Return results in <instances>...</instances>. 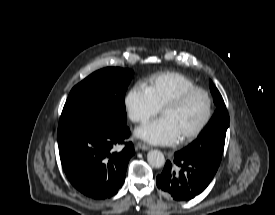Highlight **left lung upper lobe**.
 <instances>
[{
    "instance_id": "5c2ea615",
    "label": "left lung upper lobe",
    "mask_w": 275,
    "mask_h": 215,
    "mask_svg": "<svg viewBox=\"0 0 275 215\" xmlns=\"http://www.w3.org/2000/svg\"><path fill=\"white\" fill-rule=\"evenodd\" d=\"M210 90L217 109L205 129L181 152L219 166L230 118L223 98L212 81H210Z\"/></svg>"
}]
</instances>
